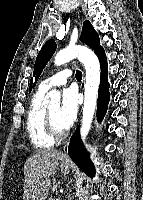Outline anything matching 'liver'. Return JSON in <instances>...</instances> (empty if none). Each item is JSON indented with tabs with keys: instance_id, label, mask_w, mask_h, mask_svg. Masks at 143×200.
<instances>
[{
	"instance_id": "obj_1",
	"label": "liver",
	"mask_w": 143,
	"mask_h": 200,
	"mask_svg": "<svg viewBox=\"0 0 143 200\" xmlns=\"http://www.w3.org/2000/svg\"><path fill=\"white\" fill-rule=\"evenodd\" d=\"M64 154L54 149L37 150L24 165V200H45L50 188V176L58 170Z\"/></svg>"
}]
</instances>
